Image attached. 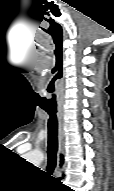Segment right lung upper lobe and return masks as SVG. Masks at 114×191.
<instances>
[{
    "instance_id": "right-lung-upper-lobe-1",
    "label": "right lung upper lobe",
    "mask_w": 114,
    "mask_h": 191,
    "mask_svg": "<svg viewBox=\"0 0 114 191\" xmlns=\"http://www.w3.org/2000/svg\"><path fill=\"white\" fill-rule=\"evenodd\" d=\"M63 162V156H61V163Z\"/></svg>"
}]
</instances>
